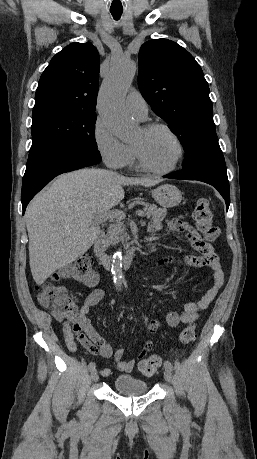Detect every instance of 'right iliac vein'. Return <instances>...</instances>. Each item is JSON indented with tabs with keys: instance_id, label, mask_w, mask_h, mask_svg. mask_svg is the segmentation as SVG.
<instances>
[{
	"instance_id": "obj_1",
	"label": "right iliac vein",
	"mask_w": 257,
	"mask_h": 459,
	"mask_svg": "<svg viewBox=\"0 0 257 459\" xmlns=\"http://www.w3.org/2000/svg\"><path fill=\"white\" fill-rule=\"evenodd\" d=\"M91 379H92L93 382H96L99 379V375H98L97 370H93L91 372Z\"/></svg>"
}]
</instances>
